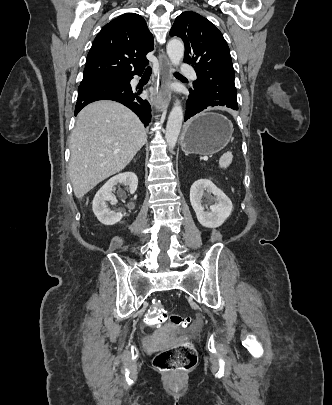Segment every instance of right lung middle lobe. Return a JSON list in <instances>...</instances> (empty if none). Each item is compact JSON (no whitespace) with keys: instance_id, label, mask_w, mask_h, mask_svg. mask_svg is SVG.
<instances>
[{"instance_id":"1","label":"right lung middle lobe","mask_w":332,"mask_h":405,"mask_svg":"<svg viewBox=\"0 0 332 405\" xmlns=\"http://www.w3.org/2000/svg\"><path fill=\"white\" fill-rule=\"evenodd\" d=\"M119 78H120V77H118V76H104V77H97V78H86V77H83V80H82L81 83H85V82L92 81V80H96V79H119Z\"/></svg>"}]
</instances>
